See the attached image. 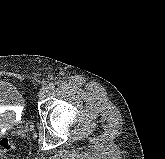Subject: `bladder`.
I'll use <instances>...</instances> for the list:
<instances>
[{"instance_id":"obj_1","label":"bladder","mask_w":165,"mask_h":159,"mask_svg":"<svg viewBox=\"0 0 165 159\" xmlns=\"http://www.w3.org/2000/svg\"><path fill=\"white\" fill-rule=\"evenodd\" d=\"M23 104L21 91L11 82L0 80V107L12 108V113L15 115Z\"/></svg>"}]
</instances>
